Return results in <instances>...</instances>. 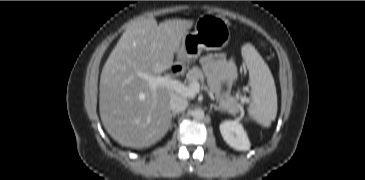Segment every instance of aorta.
I'll return each mask as SVG.
<instances>
[{
	"label": "aorta",
	"instance_id": "obj_1",
	"mask_svg": "<svg viewBox=\"0 0 365 180\" xmlns=\"http://www.w3.org/2000/svg\"><path fill=\"white\" fill-rule=\"evenodd\" d=\"M192 117L196 120H202L205 116L204 111L202 109H195L191 113Z\"/></svg>",
	"mask_w": 365,
	"mask_h": 180
}]
</instances>
